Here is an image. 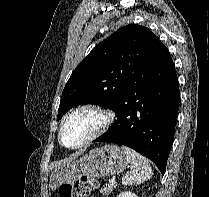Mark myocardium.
Wrapping results in <instances>:
<instances>
[{"mask_svg":"<svg viewBox=\"0 0 209 197\" xmlns=\"http://www.w3.org/2000/svg\"><path fill=\"white\" fill-rule=\"evenodd\" d=\"M84 110H91V111H95L98 114H100V116L102 117V122L101 124L88 136L86 137L81 143L75 145V146H66L63 141H62V131L63 128L65 126V124L68 122V120L74 116L75 114H77L80 111H84ZM114 113L111 109H109L108 107H105L101 104L95 103V102H87V103H83L78 105L77 107H75L74 109H72L71 111H69L62 119L59 130H58V141L60 143L61 146H63L66 149L69 150H76L82 147L87 146L88 144H90L91 142H93L94 140L98 139L99 137H101L103 134H105L108 129L111 127V125L114 122Z\"/></svg>","mask_w":209,"mask_h":197,"instance_id":"obj_1","label":"myocardium"}]
</instances>
